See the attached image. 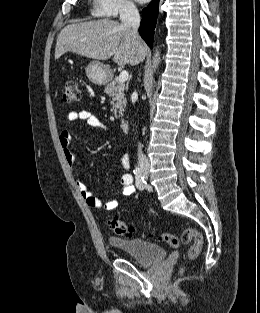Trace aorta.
Returning <instances> with one entry per match:
<instances>
[{"label":"aorta","instance_id":"aorta-1","mask_svg":"<svg viewBox=\"0 0 260 313\" xmlns=\"http://www.w3.org/2000/svg\"><path fill=\"white\" fill-rule=\"evenodd\" d=\"M159 51H156V53L154 54L153 57V69L155 70L158 67V63H159Z\"/></svg>","mask_w":260,"mask_h":313}]
</instances>
